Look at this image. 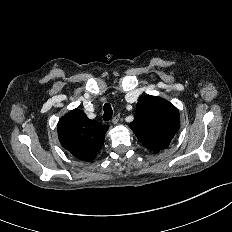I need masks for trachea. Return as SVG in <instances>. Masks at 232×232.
<instances>
[{
  "label": "trachea",
  "instance_id": "1",
  "mask_svg": "<svg viewBox=\"0 0 232 232\" xmlns=\"http://www.w3.org/2000/svg\"><path fill=\"white\" fill-rule=\"evenodd\" d=\"M103 110H104L103 120L104 121L111 120L113 116V110H112L111 105L108 103H105Z\"/></svg>",
  "mask_w": 232,
  "mask_h": 232
}]
</instances>
